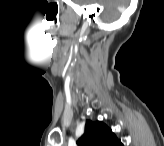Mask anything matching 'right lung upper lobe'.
Segmentation results:
<instances>
[{
    "instance_id": "cb5924a9",
    "label": "right lung upper lobe",
    "mask_w": 164,
    "mask_h": 146,
    "mask_svg": "<svg viewBox=\"0 0 164 146\" xmlns=\"http://www.w3.org/2000/svg\"><path fill=\"white\" fill-rule=\"evenodd\" d=\"M79 146H122L111 129L100 121H86L85 133L77 141Z\"/></svg>"
}]
</instances>
